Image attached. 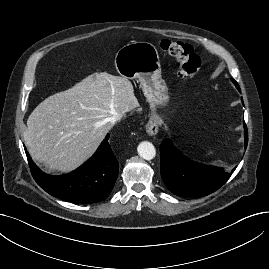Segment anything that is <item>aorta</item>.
Here are the masks:
<instances>
[{
	"mask_svg": "<svg viewBox=\"0 0 269 269\" xmlns=\"http://www.w3.org/2000/svg\"><path fill=\"white\" fill-rule=\"evenodd\" d=\"M138 154L145 160H151L156 155V150L151 142L143 141L137 147Z\"/></svg>",
	"mask_w": 269,
	"mask_h": 269,
	"instance_id": "aorta-1",
	"label": "aorta"
}]
</instances>
